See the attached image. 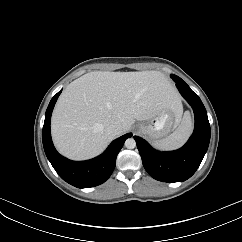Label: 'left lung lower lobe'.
Listing matches in <instances>:
<instances>
[{
	"instance_id": "0a47b994",
	"label": "left lung lower lobe",
	"mask_w": 242,
	"mask_h": 242,
	"mask_svg": "<svg viewBox=\"0 0 242 242\" xmlns=\"http://www.w3.org/2000/svg\"><path fill=\"white\" fill-rule=\"evenodd\" d=\"M176 86L192 106L195 115L194 132L188 142L178 150L160 152L142 138L134 136L142 163L149 175L170 183L183 182L195 173L210 141V124L202 101L184 81L176 82Z\"/></svg>"
}]
</instances>
